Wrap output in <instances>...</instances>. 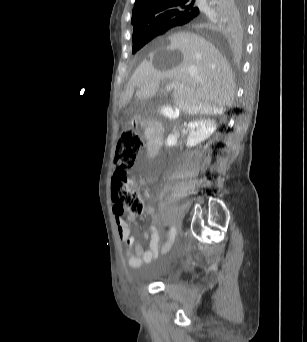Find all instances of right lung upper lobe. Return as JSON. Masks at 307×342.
Listing matches in <instances>:
<instances>
[{"instance_id": "obj_1", "label": "right lung upper lobe", "mask_w": 307, "mask_h": 342, "mask_svg": "<svg viewBox=\"0 0 307 342\" xmlns=\"http://www.w3.org/2000/svg\"><path fill=\"white\" fill-rule=\"evenodd\" d=\"M136 0L131 23L133 35L167 31L188 24L215 40H224L230 30L236 0Z\"/></svg>"}]
</instances>
